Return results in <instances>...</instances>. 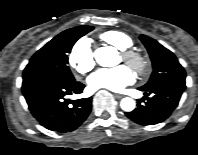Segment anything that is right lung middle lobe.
I'll use <instances>...</instances> for the list:
<instances>
[{
	"instance_id": "dd1d6c3e",
	"label": "right lung middle lobe",
	"mask_w": 198,
	"mask_h": 155,
	"mask_svg": "<svg viewBox=\"0 0 198 155\" xmlns=\"http://www.w3.org/2000/svg\"><path fill=\"white\" fill-rule=\"evenodd\" d=\"M93 30L92 26H78L68 29L37 51L24 69L23 79L44 77L64 83L74 82L68 64L70 53L75 42Z\"/></svg>"
}]
</instances>
